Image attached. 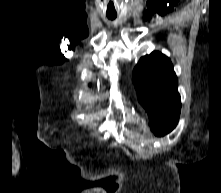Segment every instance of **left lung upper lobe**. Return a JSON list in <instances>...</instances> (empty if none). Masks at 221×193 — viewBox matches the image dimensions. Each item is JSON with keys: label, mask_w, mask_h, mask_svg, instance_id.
<instances>
[{"label": "left lung upper lobe", "mask_w": 221, "mask_h": 193, "mask_svg": "<svg viewBox=\"0 0 221 193\" xmlns=\"http://www.w3.org/2000/svg\"><path fill=\"white\" fill-rule=\"evenodd\" d=\"M133 82L154 134L171 132L179 120L181 100L170 59L157 51L142 57L134 69Z\"/></svg>", "instance_id": "obj_1"}]
</instances>
